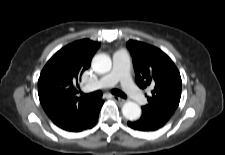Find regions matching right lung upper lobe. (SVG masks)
I'll return each mask as SVG.
<instances>
[{
	"instance_id": "obj_1",
	"label": "right lung upper lobe",
	"mask_w": 225,
	"mask_h": 155,
	"mask_svg": "<svg viewBox=\"0 0 225 155\" xmlns=\"http://www.w3.org/2000/svg\"><path fill=\"white\" fill-rule=\"evenodd\" d=\"M99 46L89 39L73 42L55 53L40 74V103L54 124L64 130L79 128L96 102L77 97V87Z\"/></svg>"
}]
</instances>
